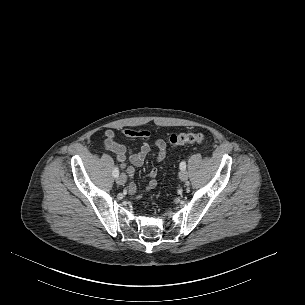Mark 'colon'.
<instances>
[{
    "label": "colon",
    "mask_w": 305,
    "mask_h": 305,
    "mask_svg": "<svg viewBox=\"0 0 305 305\" xmlns=\"http://www.w3.org/2000/svg\"><path fill=\"white\" fill-rule=\"evenodd\" d=\"M204 140L205 135L200 132L172 134L169 138L170 144L173 147L184 146L193 143H202Z\"/></svg>",
    "instance_id": "colon-1"
}]
</instances>
